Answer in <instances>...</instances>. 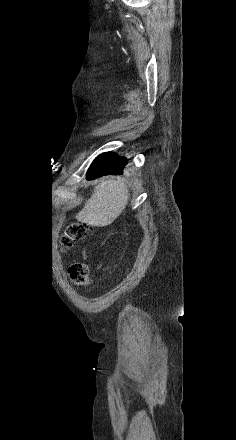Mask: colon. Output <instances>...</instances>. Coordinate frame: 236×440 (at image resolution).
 I'll return each mask as SVG.
<instances>
[{"mask_svg":"<svg viewBox=\"0 0 236 440\" xmlns=\"http://www.w3.org/2000/svg\"><path fill=\"white\" fill-rule=\"evenodd\" d=\"M88 233L86 225L73 222L67 225L61 237V245L68 249L77 241L82 240ZM71 280L78 286H88L91 283L90 269L85 263H73L69 267Z\"/></svg>","mask_w":236,"mask_h":440,"instance_id":"5ec220e1","label":"colon"}]
</instances>
